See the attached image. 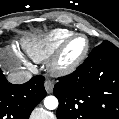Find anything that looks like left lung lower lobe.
<instances>
[{
    "instance_id": "left-lung-lower-lobe-1",
    "label": "left lung lower lobe",
    "mask_w": 119,
    "mask_h": 119,
    "mask_svg": "<svg viewBox=\"0 0 119 119\" xmlns=\"http://www.w3.org/2000/svg\"><path fill=\"white\" fill-rule=\"evenodd\" d=\"M58 119H119V49L105 40L73 73L58 78Z\"/></svg>"
}]
</instances>
